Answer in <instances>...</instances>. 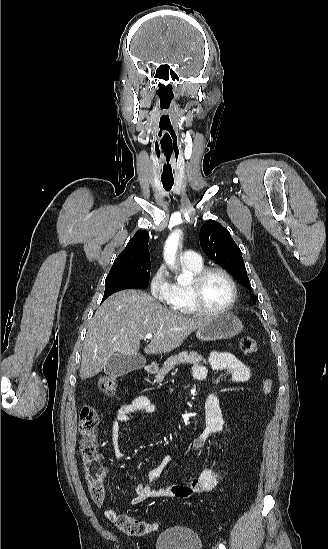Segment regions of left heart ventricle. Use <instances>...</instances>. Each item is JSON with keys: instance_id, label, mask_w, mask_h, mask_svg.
<instances>
[{"instance_id": "1", "label": "left heart ventricle", "mask_w": 328, "mask_h": 549, "mask_svg": "<svg viewBox=\"0 0 328 549\" xmlns=\"http://www.w3.org/2000/svg\"><path fill=\"white\" fill-rule=\"evenodd\" d=\"M200 295L208 309H219L225 306L231 299L232 287L229 280L220 272L209 273L203 280Z\"/></svg>"}]
</instances>
